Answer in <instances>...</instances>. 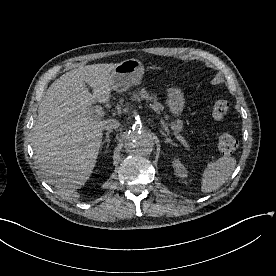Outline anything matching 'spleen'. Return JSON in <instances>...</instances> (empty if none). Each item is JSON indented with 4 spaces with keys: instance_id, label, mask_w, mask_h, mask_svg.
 <instances>
[{
    "instance_id": "3e777b00",
    "label": "spleen",
    "mask_w": 276,
    "mask_h": 276,
    "mask_svg": "<svg viewBox=\"0 0 276 276\" xmlns=\"http://www.w3.org/2000/svg\"><path fill=\"white\" fill-rule=\"evenodd\" d=\"M235 166L236 159L233 157H221L208 163L201 182L202 192L208 193L220 188L231 176Z\"/></svg>"
}]
</instances>
